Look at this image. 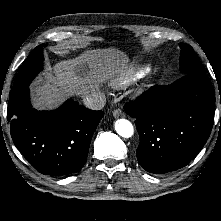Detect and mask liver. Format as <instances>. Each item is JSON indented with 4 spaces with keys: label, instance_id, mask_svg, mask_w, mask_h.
Returning <instances> with one entry per match:
<instances>
[{
    "label": "liver",
    "instance_id": "6515ba94",
    "mask_svg": "<svg viewBox=\"0 0 221 221\" xmlns=\"http://www.w3.org/2000/svg\"><path fill=\"white\" fill-rule=\"evenodd\" d=\"M129 67L124 52L115 48L87 50L80 56L56 63L46 79L33 84L36 108L52 109L70 95L85 96L99 90L100 83L122 74Z\"/></svg>",
    "mask_w": 221,
    "mask_h": 221
}]
</instances>
